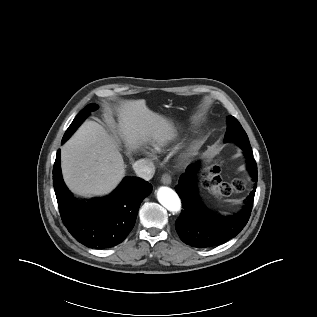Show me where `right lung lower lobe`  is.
Here are the masks:
<instances>
[{"label": "right lung lower lobe", "instance_id": "1", "mask_svg": "<svg viewBox=\"0 0 317 317\" xmlns=\"http://www.w3.org/2000/svg\"><path fill=\"white\" fill-rule=\"evenodd\" d=\"M66 140L62 139V143ZM53 186L61 218L71 235L89 248L106 249L123 242L132 230L142 200L151 184L125 177L109 196L77 201L66 187L60 167V150L53 168Z\"/></svg>", "mask_w": 317, "mask_h": 317}]
</instances>
